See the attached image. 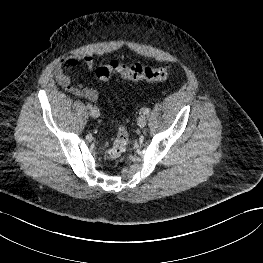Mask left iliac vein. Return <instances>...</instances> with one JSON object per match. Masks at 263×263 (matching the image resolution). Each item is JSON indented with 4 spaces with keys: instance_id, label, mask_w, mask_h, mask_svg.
I'll return each instance as SVG.
<instances>
[{
    "instance_id": "obj_1",
    "label": "left iliac vein",
    "mask_w": 263,
    "mask_h": 263,
    "mask_svg": "<svg viewBox=\"0 0 263 263\" xmlns=\"http://www.w3.org/2000/svg\"><path fill=\"white\" fill-rule=\"evenodd\" d=\"M137 123L140 128L145 127V125L147 124V116L145 114L140 115Z\"/></svg>"
}]
</instances>
